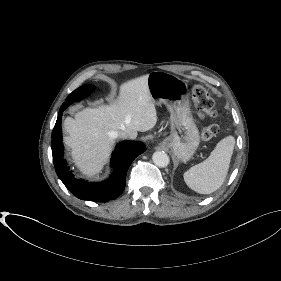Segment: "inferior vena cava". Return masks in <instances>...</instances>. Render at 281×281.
I'll return each instance as SVG.
<instances>
[{"label":"inferior vena cava","instance_id":"1","mask_svg":"<svg viewBox=\"0 0 281 281\" xmlns=\"http://www.w3.org/2000/svg\"><path fill=\"white\" fill-rule=\"evenodd\" d=\"M115 137H119V138H123V139H127V138L133 139V136H131L129 133H127L126 131H123V130L117 131L115 133Z\"/></svg>","mask_w":281,"mask_h":281}]
</instances>
